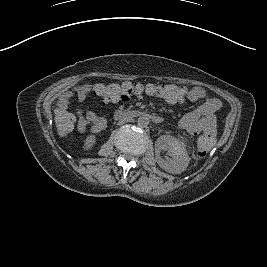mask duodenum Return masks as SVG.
<instances>
[{
	"mask_svg": "<svg viewBox=\"0 0 267 267\" xmlns=\"http://www.w3.org/2000/svg\"><path fill=\"white\" fill-rule=\"evenodd\" d=\"M116 118L127 117V118H138V117H148L153 123L159 124L162 121V118L158 115H150L142 110H118L115 113Z\"/></svg>",
	"mask_w": 267,
	"mask_h": 267,
	"instance_id": "1",
	"label": "duodenum"
}]
</instances>
